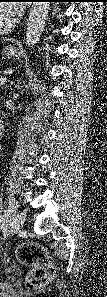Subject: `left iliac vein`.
Returning <instances> with one entry per match:
<instances>
[{
	"mask_svg": "<svg viewBox=\"0 0 107 297\" xmlns=\"http://www.w3.org/2000/svg\"><path fill=\"white\" fill-rule=\"evenodd\" d=\"M25 219H26V214L24 212H19L13 220V224H12L13 230L19 231L22 228L25 222Z\"/></svg>",
	"mask_w": 107,
	"mask_h": 297,
	"instance_id": "4c4485c4",
	"label": "left iliac vein"
}]
</instances>
